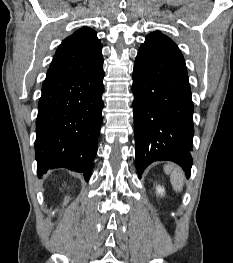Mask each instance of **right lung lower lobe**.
<instances>
[{
	"instance_id": "98d812e1",
	"label": "right lung lower lobe",
	"mask_w": 233,
	"mask_h": 263,
	"mask_svg": "<svg viewBox=\"0 0 233 263\" xmlns=\"http://www.w3.org/2000/svg\"><path fill=\"white\" fill-rule=\"evenodd\" d=\"M103 59L84 75L46 77L38 104V176L65 167L89 180L102 123Z\"/></svg>"
}]
</instances>
